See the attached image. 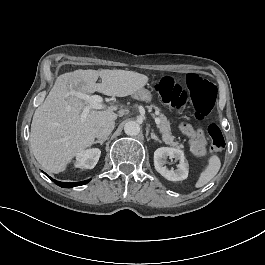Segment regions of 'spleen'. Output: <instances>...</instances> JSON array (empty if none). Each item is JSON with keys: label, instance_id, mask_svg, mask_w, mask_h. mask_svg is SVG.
Instances as JSON below:
<instances>
[{"label": "spleen", "instance_id": "spleen-1", "mask_svg": "<svg viewBox=\"0 0 265 265\" xmlns=\"http://www.w3.org/2000/svg\"><path fill=\"white\" fill-rule=\"evenodd\" d=\"M221 167V162L218 156L213 155L209 159V164L206 169L201 173L199 180L196 183V187H203L206 185L211 179H213L218 173Z\"/></svg>", "mask_w": 265, "mask_h": 265}]
</instances>
